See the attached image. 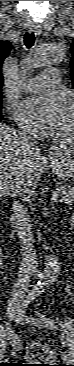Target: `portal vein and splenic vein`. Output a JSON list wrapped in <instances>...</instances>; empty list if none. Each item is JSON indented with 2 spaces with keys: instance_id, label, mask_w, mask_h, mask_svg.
Listing matches in <instances>:
<instances>
[{
  "instance_id": "portal-vein-and-splenic-vein-1",
  "label": "portal vein and splenic vein",
  "mask_w": 74,
  "mask_h": 366,
  "mask_svg": "<svg viewBox=\"0 0 74 366\" xmlns=\"http://www.w3.org/2000/svg\"><path fill=\"white\" fill-rule=\"evenodd\" d=\"M59 198V195H58V193L55 191V192H53V194H52V199L54 200V201H57V199Z\"/></svg>"
}]
</instances>
